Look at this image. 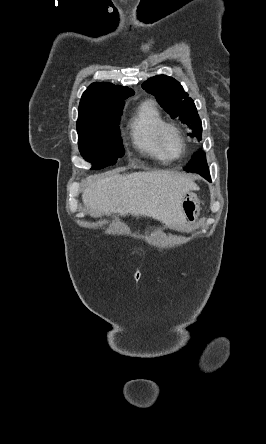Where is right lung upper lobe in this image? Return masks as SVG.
Segmentation results:
<instances>
[{"label":"right lung upper lobe","mask_w":266,"mask_h":444,"mask_svg":"<svg viewBox=\"0 0 266 444\" xmlns=\"http://www.w3.org/2000/svg\"><path fill=\"white\" fill-rule=\"evenodd\" d=\"M134 94L128 87L116 86L111 83H92L83 93L79 109H86L100 103L123 101Z\"/></svg>","instance_id":"cb5924a9"}]
</instances>
